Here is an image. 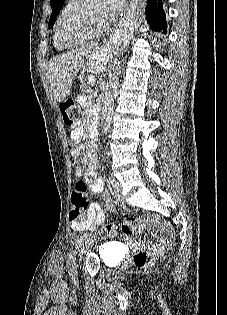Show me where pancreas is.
I'll return each mask as SVG.
<instances>
[{"label":"pancreas","mask_w":227,"mask_h":315,"mask_svg":"<svg viewBox=\"0 0 227 315\" xmlns=\"http://www.w3.org/2000/svg\"><path fill=\"white\" fill-rule=\"evenodd\" d=\"M92 75H81L80 76V82H81V89L84 92L90 93L92 92V88L95 83H90L89 80Z\"/></svg>","instance_id":"cf45deb5"}]
</instances>
